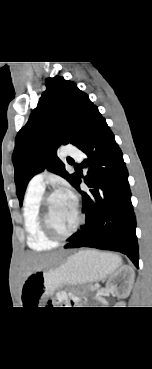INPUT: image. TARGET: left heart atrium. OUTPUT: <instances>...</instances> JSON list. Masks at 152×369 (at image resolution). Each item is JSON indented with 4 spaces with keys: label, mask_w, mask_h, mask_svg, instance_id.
<instances>
[{
    "label": "left heart atrium",
    "mask_w": 152,
    "mask_h": 369,
    "mask_svg": "<svg viewBox=\"0 0 152 369\" xmlns=\"http://www.w3.org/2000/svg\"><path fill=\"white\" fill-rule=\"evenodd\" d=\"M59 193L61 195H63L64 197L68 198L69 200H71L73 203L74 201V196L72 195V193L67 189V188H62Z\"/></svg>",
    "instance_id": "left-heart-atrium-1"
}]
</instances>
